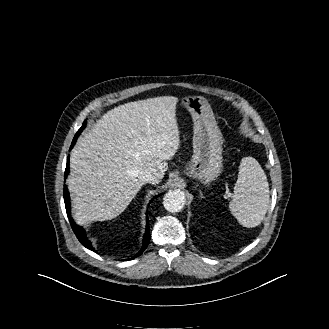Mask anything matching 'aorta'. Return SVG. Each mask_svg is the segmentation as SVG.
I'll use <instances>...</instances> for the list:
<instances>
[{"label": "aorta", "instance_id": "obj_1", "mask_svg": "<svg viewBox=\"0 0 329 329\" xmlns=\"http://www.w3.org/2000/svg\"><path fill=\"white\" fill-rule=\"evenodd\" d=\"M165 209L171 213L180 212L185 205V196L179 189L169 191L163 198Z\"/></svg>", "mask_w": 329, "mask_h": 329}]
</instances>
